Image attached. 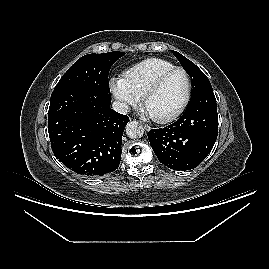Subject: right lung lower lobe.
Returning a JSON list of instances; mask_svg holds the SVG:
<instances>
[{
  "label": "right lung lower lobe",
  "mask_w": 269,
  "mask_h": 269,
  "mask_svg": "<svg viewBox=\"0 0 269 269\" xmlns=\"http://www.w3.org/2000/svg\"><path fill=\"white\" fill-rule=\"evenodd\" d=\"M109 93L65 87L52 92L48 132L52 151L72 171L103 176L121 160V139L129 118L110 108Z\"/></svg>",
  "instance_id": "98d812e1"
}]
</instances>
